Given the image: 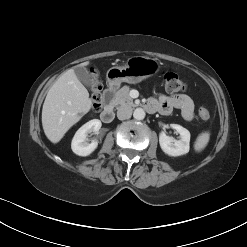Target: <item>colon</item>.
Segmentation results:
<instances>
[{
    "label": "colon",
    "mask_w": 247,
    "mask_h": 247,
    "mask_svg": "<svg viewBox=\"0 0 247 247\" xmlns=\"http://www.w3.org/2000/svg\"><path fill=\"white\" fill-rule=\"evenodd\" d=\"M164 88L169 92H181L186 89L185 82L180 76L174 72L166 71L162 74ZM92 96L94 101V108L98 109L101 105L100 88L97 84L92 87ZM199 117L202 120H208L211 116L210 111L206 107H201L198 110Z\"/></svg>",
    "instance_id": "5ec220e1"
}]
</instances>
